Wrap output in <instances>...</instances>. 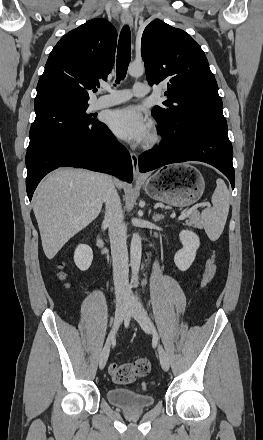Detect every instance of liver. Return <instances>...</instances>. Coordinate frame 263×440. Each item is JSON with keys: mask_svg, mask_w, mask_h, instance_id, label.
<instances>
[{"mask_svg": "<svg viewBox=\"0 0 263 440\" xmlns=\"http://www.w3.org/2000/svg\"><path fill=\"white\" fill-rule=\"evenodd\" d=\"M110 184L106 174L72 168L58 169L40 183L33 211L48 259L97 218ZM116 185L123 187L120 181Z\"/></svg>", "mask_w": 263, "mask_h": 440, "instance_id": "obj_1", "label": "liver"}]
</instances>
